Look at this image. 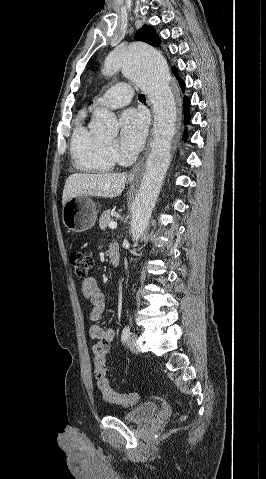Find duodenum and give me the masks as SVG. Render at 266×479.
<instances>
[{"label":"duodenum","mask_w":266,"mask_h":479,"mask_svg":"<svg viewBox=\"0 0 266 479\" xmlns=\"http://www.w3.org/2000/svg\"><path fill=\"white\" fill-rule=\"evenodd\" d=\"M108 255L111 264L116 268L120 263V249L116 243H112L108 249Z\"/></svg>","instance_id":"1"}]
</instances>
